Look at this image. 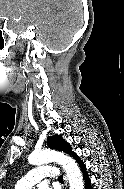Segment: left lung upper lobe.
<instances>
[{
	"label": "left lung upper lobe",
	"mask_w": 124,
	"mask_h": 189,
	"mask_svg": "<svg viewBox=\"0 0 124 189\" xmlns=\"http://www.w3.org/2000/svg\"><path fill=\"white\" fill-rule=\"evenodd\" d=\"M47 144L49 148L55 149L58 151H63L69 155H72L73 157L76 155L69 144L59 135L50 136L47 139Z\"/></svg>",
	"instance_id": "obj_1"
}]
</instances>
